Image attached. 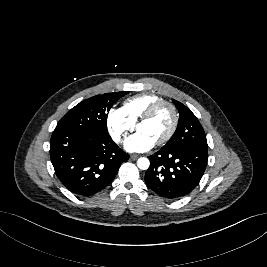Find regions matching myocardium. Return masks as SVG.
<instances>
[{
	"instance_id": "obj_1",
	"label": "myocardium",
	"mask_w": 267,
	"mask_h": 267,
	"mask_svg": "<svg viewBox=\"0 0 267 267\" xmlns=\"http://www.w3.org/2000/svg\"><path fill=\"white\" fill-rule=\"evenodd\" d=\"M163 107H168L171 110L172 113V125L169 129V131L167 132V134L161 138L157 143V145H163L165 143H167L175 134L178 125H179V114L177 111L176 106L166 100H161L156 102L155 104H153L151 107H149V109L142 115V117L138 120L137 122V129L138 127L144 123L149 121L150 119H152Z\"/></svg>"
}]
</instances>
